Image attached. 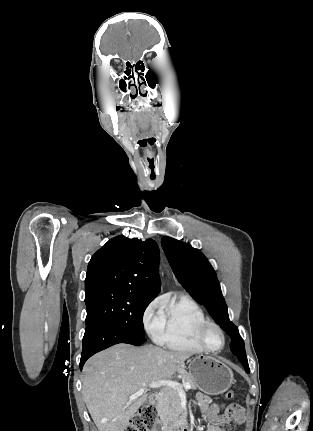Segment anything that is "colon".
Segmentation results:
<instances>
[{
  "instance_id": "5ec220e1",
  "label": "colon",
  "mask_w": 313,
  "mask_h": 431,
  "mask_svg": "<svg viewBox=\"0 0 313 431\" xmlns=\"http://www.w3.org/2000/svg\"><path fill=\"white\" fill-rule=\"evenodd\" d=\"M226 398L232 399L234 392H226ZM125 431H161L157 410L152 405L143 406L129 421Z\"/></svg>"
}]
</instances>
